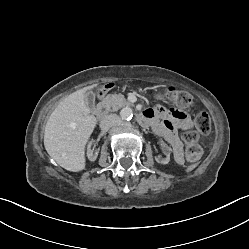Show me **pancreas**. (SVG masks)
Returning <instances> with one entry per match:
<instances>
[{"label": "pancreas", "mask_w": 249, "mask_h": 249, "mask_svg": "<svg viewBox=\"0 0 249 249\" xmlns=\"http://www.w3.org/2000/svg\"><path fill=\"white\" fill-rule=\"evenodd\" d=\"M106 104L111 107V111H118L120 108L128 106L129 103L126 101L122 94H112L105 98Z\"/></svg>", "instance_id": "obj_1"}]
</instances>
